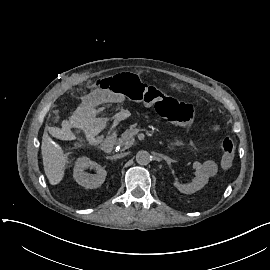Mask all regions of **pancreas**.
<instances>
[{
  "label": "pancreas",
  "instance_id": "cf45deb5",
  "mask_svg": "<svg viewBox=\"0 0 270 270\" xmlns=\"http://www.w3.org/2000/svg\"><path fill=\"white\" fill-rule=\"evenodd\" d=\"M133 134L130 130H127L123 135L122 138L119 139V144L126 146V148L130 147L133 142Z\"/></svg>",
  "mask_w": 270,
  "mask_h": 270
}]
</instances>
